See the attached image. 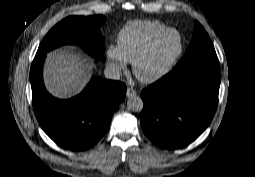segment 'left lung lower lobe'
Wrapping results in <instances>:
<instances>
[{
  "label": "left lung lower lobe",
  "mask_w": 255,
  "mask_h": 177,
  "mask_svg": "<svg viewBox=\"0 0 255 177\" xmlns=\"http://www.w3.org/2000/svg\"><path fill=\"white\" fill-rule=\"evenodd\" d=\"M218 60H198L173 69L141 93V126L157 146L174 149L194 141L217 107Z\"/></svg>",
  "instance_id": "0a47b994"
}]
</instances>
